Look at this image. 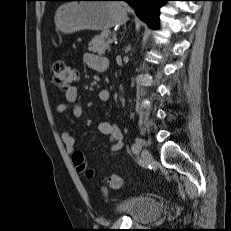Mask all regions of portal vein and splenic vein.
<instances>
[{"instance_id": "obj_1", "label": "portal vein and splenic vein", "mask_w": 231, "mask_h": 231, "mask_svg": "<svg viewBox=\"0 0 231 231\" xmlns=\"http://www.w3.org/2000/svg\"><path fill=\"white\" fill-rule=\"evenodd\" d=\"M113 41H114L113 39H108V43H109V44H112Z\"/></svg>"}]
</instances>
